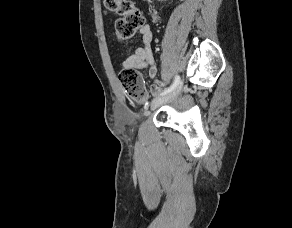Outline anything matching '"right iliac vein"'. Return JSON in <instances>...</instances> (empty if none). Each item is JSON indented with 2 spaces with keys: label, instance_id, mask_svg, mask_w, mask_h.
I'll return each instance as SVG.
<instances>
[{
  "label": "right iliac vein",
  "instance_id": "right-iliac-vein-1",
  "mask_svg": "<svg viewBox=\"0 0 292 228\" xmlns=\"http://www.w3.org/2000/svg\"><path fill=\"white\" fill-rule=\"evenodd\" d=\"M181 91V84L176 87L173 91H171L170 93L155 99L152 104H151V109H155L157 107H159L160 105L168 102L169 100L173 99L174 97H176Z\"/></svg>",
  "mask_w": 292,
  "mask_h": 228
}]
</instances>
